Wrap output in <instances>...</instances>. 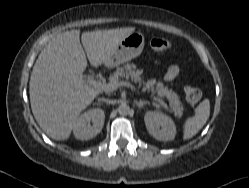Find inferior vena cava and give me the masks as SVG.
Wrapping results in <instances>:
<instances>
[{
	"mask_svg": "<svg viewBox=\"0 0 249 188\" xmlns=\"http://www.w3.org/2000/svg\"><path fill=\"white\" fill-rule=\"evenodd\" d=\"M98 100H99V101H104V102L109 103V104H112V103H113V101H112V100H109V99L99 98Z\"/></svg>",
	"mask_w": 249,
	"mask_h": 188,
	"instance_id": "obj_1",
	"label": "inferior vena cava"
}]
</instances>
